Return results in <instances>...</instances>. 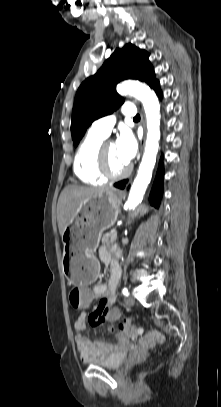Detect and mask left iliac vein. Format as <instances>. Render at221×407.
<instances>
[{"mask_svg": "<svg viewBox=\"0 0 221 407\" xmlns=\"http://www.w3.org/2000/svg\"><path fill=\"white\" fill-rule=\"evenodd\" d=\"M126 306L131 307L135 304V300L132 296H127L124 300Z\"/></svg>", "mask_w": 221, "mask_h": 407, "instance_id": "obj_1", "label": "left iliac vein"}]
</instances>
